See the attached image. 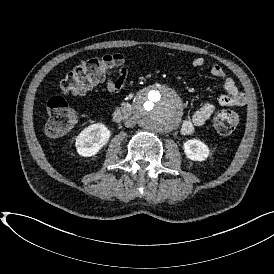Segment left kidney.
<instances>
[{
    "mask_svg": "<svg viewBox=\"0 0 274 274\" xmlns=\"http://www.w3.org/2000/svg\"><path fill=\"white\" fill-rule=\"evenodd\" d=\"M183 151L187 159L196 162L205 161L210 155L208 145L195 138L183 142Z\"/></svg>",
    "mask_w": 274,
    "mask_h": 274,
    "instance_id": "obj_1",
    "label": "left kidney"
}]
</instances>
